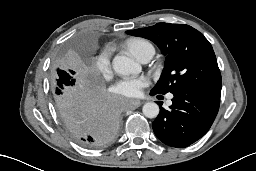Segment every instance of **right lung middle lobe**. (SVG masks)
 Here are the masks:
<instances>
[{
	"label": "right lung middle lobe",
	"instance_id": "dd1d6c3e",
	"mask_svg": "<svg viewBox=\"0 0 256 171\" xmlns=\"http://www.w3.org/2000/svg\"><path fill=\"white\" fill-rule=\"evenodd\" d=\"M51 86L56 107L75 97L83 88L77 84L75 72L69 67L67 57L56 61L51 71Z\"/></svg>",
	"mask_w": 256,
	"mask_h": 171
}]
</instances>
